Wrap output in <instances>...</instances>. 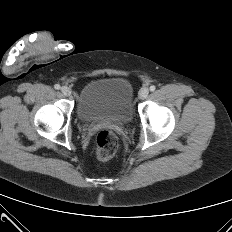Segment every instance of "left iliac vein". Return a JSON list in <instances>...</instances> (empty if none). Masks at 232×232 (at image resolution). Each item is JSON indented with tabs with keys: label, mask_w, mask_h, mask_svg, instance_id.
Masks as SVG:
<instances>
[{
	"label": "left iliac vein",
	"mask_w": 232,
	"mask_h": 232,
	"mask_svg": "<svg viewBox=\"0 0 232 232\" xmlns=\"http://www.w3.org/2000/svg\"><path fill=\"white\" fill-rule=\"evenodd\" d=\"M148 94H149V89L147 87H143L139 91V97H140V99L147 98Z\"/></svg>",
	"instance_id": "left-iliac-vein-1"
}]
</instances>
